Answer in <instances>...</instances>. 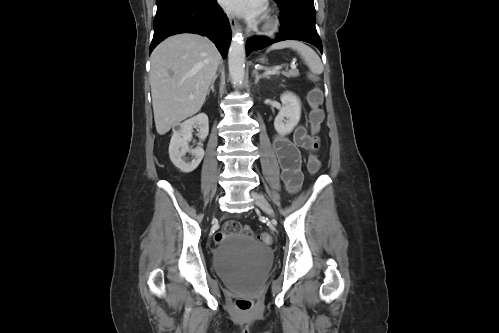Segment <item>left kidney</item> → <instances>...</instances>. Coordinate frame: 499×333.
<instances>
[{"label": "left kidney", "instance_id": "5707ae66", "mask_svg": "<svg viewBox=\"0 0 499 333\" xmlns=\"http://www.w3.org/2000/svg\"><path fill=\"white\" fill-rule=\"evenodd\" d=\"M282 108L274 120L275 130L281 134H289L300 121L301 105L298 97L291 93H283L280 97Z\"/></svg>", "mask_w": 499, "mask_h": 333}]
</instances>
